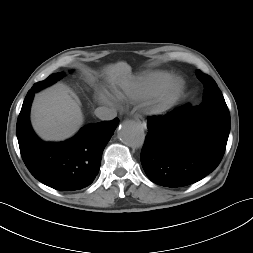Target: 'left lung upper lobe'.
Listing matches in <instances>:
<instances>
[{"label":"left lung upper lobe","mask_w":253,"mask_h":253,"mask_svg":"<svg viewBox=\"0 0 253 253\" xmlns=\"http://www.w3.org/2000/svg\"><path fill=\"white\" fill-rule=\"evenodd\" d=\"M197 78L203 83L204 85V100L214 99V100H224V97L218 88L215 81L208 75L202 73L200 70L196 73ZM203 100V101H204Z\"/></svg>","instance_id":"1"}]
</instances>
